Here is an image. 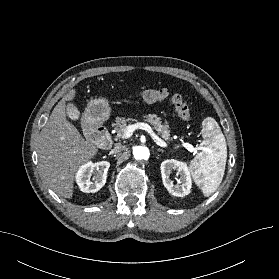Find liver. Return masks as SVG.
Masks as SVG:
<instances>
[{
    "instance_id": "1",
    "label": "liver",
    "mask_w": 279,
    "mask_h": 279,
    "mask_svg": "<svg viewBox=\"0 0 279 279\" xmlns=\"http://www.w3.org/2000/svg\"><path fill=\"white\" fill-rule=\"evenodd\" d=\"M76 90H70L54 107L38 140L39 168L48 186L58 195L71 198L77 169L98 153L93 141L84 139L78 129L66 119Z\"/></svg>"
}]
</instances>
